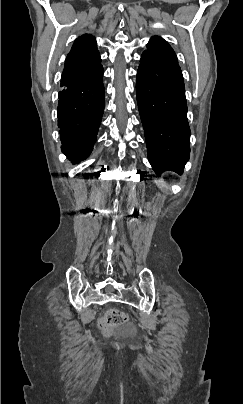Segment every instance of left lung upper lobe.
<instances>
[{"label":"left lung upper lobe","mask_w":243,"mask_h":404,"mask_svg":"<svg viewBox=\"0 0 243 404\" xmlns=\"http://www.w3.org/2000/svg\"><path fill=\"white\" fill-rule=\"evenodd\" d=\"M143 53H148L153 57L163 61L178 64L175 52L170 47V45L160 37H152L147 44V50H145Z\"/></svg>","instance_id":"1"}]
</instances>
